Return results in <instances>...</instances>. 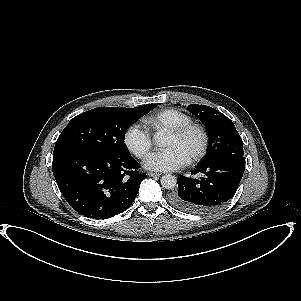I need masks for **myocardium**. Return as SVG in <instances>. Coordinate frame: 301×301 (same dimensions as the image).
<instances>
[{"instance_id":"1","label":"myocardium","mask_w":301,"mask_h":301,"mask_svg":"<svg viewBox=\"0 0 301 301\" xmlns=\"http://www.w3.org/2000/svg\"><path fill=\"white\" fill-rule=\"evenodd\" d=\"M192 131H195L199 135V143L195 150L186 158V162H193L199 159L204 154L205 149L207 147V134L204 128L199 124L190 123L179 128L165 131V136L175 138H182Z\"/></svg>"}]
</instances>
